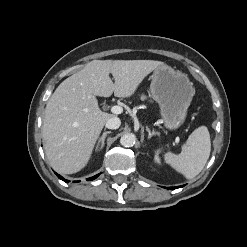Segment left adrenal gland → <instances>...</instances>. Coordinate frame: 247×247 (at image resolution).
Here are the masks:
<instances>
[{
	"label": "left adrenal gland",
	"mask_w": 247,
	"mask_h": 247,
	"mask_svg": "<svg viewBox=\"0 0 247 247\" xmlns=\"http://www.w3.org/2000/svg\"><path fill=\"white\" fill-rule=\"evenodd\" d=\"M146 131L148 132V139H151L152 136H160V134L156 131H151L147 126H146Z\"/></svg>",
	"instance_id": "left-adrenal-gland-1"
}]
</instances>
